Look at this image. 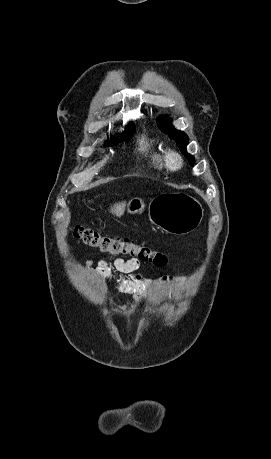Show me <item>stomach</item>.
Instances as JSON below:
<instances>
[{"instance_id": "stomach-1", "label": "stomach", "mask_w": 271, "mask_h": 459, "mask_svg": "<svg viewBox=\"0 0 271 459\" xmlns=\"http://www.w3.org/2000/svg\"><path fill=\"white\" fill-rule=\"evenodd\" d=\"M145 208L139 198L130 200L127 206L128 214H141ZM204 210L197 200L187 194H162L153 198L148 206V216L151 224L157 228L184 235L198 228L202 222Z\"/></svg>"}]
</instances>
